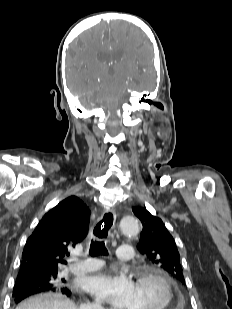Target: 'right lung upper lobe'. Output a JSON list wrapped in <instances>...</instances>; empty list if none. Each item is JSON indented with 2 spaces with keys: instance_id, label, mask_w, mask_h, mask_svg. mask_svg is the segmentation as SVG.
<instances>
[{
  "instance_id": "cb5924a9",
  "label": "right lung upper lobe",
  "mask_w": 232,
  "mask_h": 309,
  "mask_svg": "<svg viewBox=\"0 0 232 309\" xmlns=\"http://www.w3.org/2000/svg\"><path fill=\"white\" fill-rule=\"evenodd\" d=\"M90 210L76 196L48 211L27 239L20 271L38 274L66 264L68 248L82 242L88 233Z\"/></svg>"
}]
</instances>
